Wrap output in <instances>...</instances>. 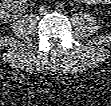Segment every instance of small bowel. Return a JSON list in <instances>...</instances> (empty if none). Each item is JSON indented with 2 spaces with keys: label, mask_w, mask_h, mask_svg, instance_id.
Listing matches in <instances>:
<instances>
[{
  "label": "small bowel",
  "mask_w": 111,
  "mask_h": 106,
  "mask_svg": "<svg viewBox=\"0 0 111 106\" xmlns=\"http://www.w3.org/2000/svg\"><path fill=\"white\" fill-rule=\"evenodd\" d=\"M85 2H87V3H97V2H101V1H95V0H85Z\"/></svg>",
  "instance_id": "1"
}]
</instances>
